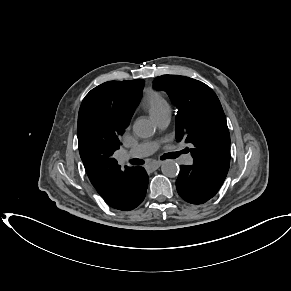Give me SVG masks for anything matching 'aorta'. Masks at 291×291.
I'll return each mask as SVG.
<instances>
[{
  "mask_svg": "<svg viewBox=\"0 0 291 291\" xmlns=\"http://www.w3.org/2000/svg\"><path fill=\"white\" fill-rule=\"evenodd\" d=\"M133 132L138 137L148 138L154 135L155 127L150 120L141 118L135 121ZM161 170L165 176L173 178L178 175L179 166L175 160L168 159L163 162Z\"/></svg>",
  "mask_w": 291,
  "mask_h": 291,
  "instance_id": "aorta-1",
  "label": "aorta"
}]
</instances>
